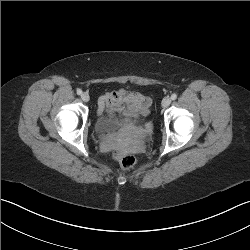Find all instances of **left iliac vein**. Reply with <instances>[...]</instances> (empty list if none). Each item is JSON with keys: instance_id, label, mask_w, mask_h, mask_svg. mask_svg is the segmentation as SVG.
I'll list each match as a JSON object with an SVG mask.
<instances>
[{"instance_id": "1", "label": "left iliac vein", "mask_w": 250, "mask_h": 250, "mask_svg": "<svg viewBox=\"0 0 250 250\" xmlns=\"http://www.w3.org/2000/svg\"><path fill=\"white\" fill-rule=\"evenodd\" d=\"M171 104V98L170 97H164L162 100V106L164 108L168 107Z\"/></svg>"}]
</instances>
